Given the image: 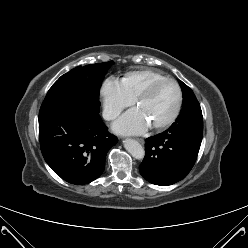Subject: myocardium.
I'll list each match as a JSON object with an SVG mask.
<instances>
[{
    "label": "myocardium",
    "instance_id": "obj_1",
    "mask_svg": "<svg viewBox=\"0 0 248 248\" xmlns=\"http://www.w3.org/2000/svg\"><path fill=\"white\" fill-rule=\"evenodd\" d=\"M163 82H171L175 85L177 92H178V99H177V104H176V107L173 113L167 119L161 122H158V123L151 124L153 128H157V129L164 128V127L171 125L180 114L182 104H183V92H182V89L179 83L175 79L170 78V77H164V78L155 80L151 82L143 91H141L137 95V97L134 99V104L138 105L140 102L147 99L151 95L152 91L155 89L156 86H158L159 84Z\"/></svg>",
    "mask_w": 248,
    "mask_h": 248
}]
</instances>
